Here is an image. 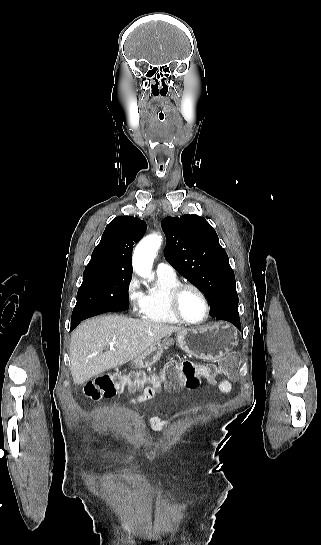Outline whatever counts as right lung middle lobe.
<instances>
[{
	"label": "right lung middle lobe",
	"mask_w": 321,
	"mask_h": 545,
	"mask_svg": "<svg viewBox=\"0 0 321 545\" xmlns=\"http://www.w3.org/2000/svg\"><path fill=\"white\" fill-rule=\"evenodd\" d=\"M132 273H112L106 270H85L77 293L72 320L108 312L112 303L128 296Z\"/></svg>",
	"instance_id": "obj_1"
}]
</instances>
